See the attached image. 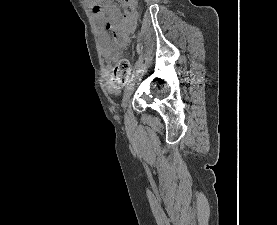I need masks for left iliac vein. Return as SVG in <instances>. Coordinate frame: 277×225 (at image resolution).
I'll use <instances>...</instances> for the list:
<instances>
[{
    "label": "left iliac vein",
    "mask_w": 277,
    "mask_h": 225,
    "mask_svg": "<svg viewBox=\"0 0 277 225\" xmlns=\"http://www.w3.org/2000/svg\"><path fill=\"white\" fill-rule=\"evenodd\" d=\"M143 72L137 74L133 80L126 86L125 91H124V95H123V106H126L127 101L129 100L133 90H134V85L135 82L139 81L142 76H143Z\"/></svg>",
    "instance_id": "left-iliac-vein-1"
}]
</instances>
